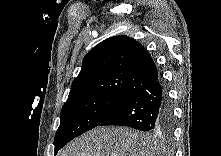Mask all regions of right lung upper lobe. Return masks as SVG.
<instances>
[{
	"instance_id": "cb5924a9",
	"label": "right lung upper lobe",
	"mask_w": 221,
	"mask_h": 156,
	"mask_svg": "<svg viewBox=\"0 0 221 156\" xmlns=\"http://www.w3.org/2000/svg\"><path fill=\"white\" fill-rule=\"evenodd\" d=\"M158 79L150 54L128 36L110 37L84 57L68 99L94 94L131 97Z\"/></svg>"
}]
</instances>
